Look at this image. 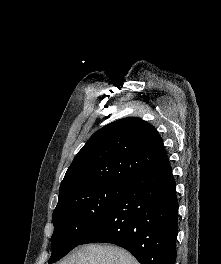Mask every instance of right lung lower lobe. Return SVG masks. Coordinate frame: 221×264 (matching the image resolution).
Returning <instances> with one entry per match:
<instances>
[{
	"instance_id": "1",
	"label": "right lung lower lobe",
	"mask_w": 221,
	"mask_h": 264,
	"mask_svg": "<svg viewBox=\"0 0 221 264\" xmlns=\"http://www.w3.org/2000/svg\"><path fill=\"white\" fill-rule=\"evenodd\" d=\"M177 214L176 184L168 163L129 180L81 244L111 243L128 250L141 264H175Z\"/></svg>"
}]
</instances>
